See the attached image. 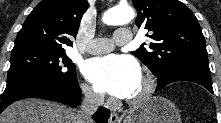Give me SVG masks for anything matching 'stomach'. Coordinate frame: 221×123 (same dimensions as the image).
<instances>
[{"label":"stomach","mask_w":221,"mask_h":123,"mask_svg":"<svg viewBox=\"0 0 221 123\" xmlns=\"http://www.w3.org/2000/svg\"><path fill=\"white\" fill-rule=\"evenodd\" d=\"M123 123H181V117L171 101L153 96L132 108Z\"/></svg>","instance_id":"1"}]
</instances>
